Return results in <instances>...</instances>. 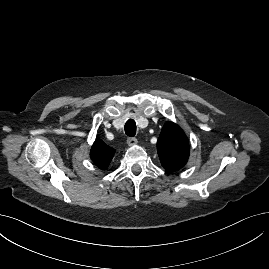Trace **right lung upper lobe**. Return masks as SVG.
Instances as JSON below:
<instances>
[{
    "mask_svg": "<svg viewBox=\"0 0 269 269\" xmlns=\"http://www.w3.org/2000/svg\"><path fill=\"white\" fill-rule=\"evenodd\" d=\"M114 152L115 150L103 141L96 140L91 148L90 157L99 168L105 170L111 162Z\"/></svg>",
    "mask_w": 269,
    "mask_h": 269,
    "instance_id": "obj_1",
    "label": "right lung upper lobe"
}]
</instances>
